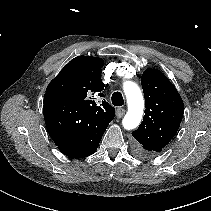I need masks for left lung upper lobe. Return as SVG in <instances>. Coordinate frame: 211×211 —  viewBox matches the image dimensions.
I'll return each mask as SVG.
<instances>
[{"label": "left lung upper lobe", "mask_w": 211, "mask_h": 211, "mask_svg": "<svg viewBox=\"0 0 211 211\" xmlns=\"http://www.w3.org/2000/svg\"><path fill=\"white\" fill-rule=\"evenodd\" d=\"M145 115L132 133L137 148L159 153L176 135L184 113L182 98L159 70L148 68L141 77Z\"/></svg>", "instance_id": "obj_1"}]
</instances>
